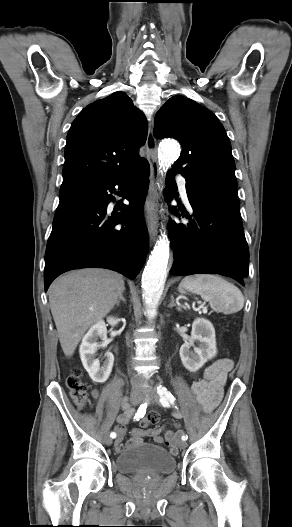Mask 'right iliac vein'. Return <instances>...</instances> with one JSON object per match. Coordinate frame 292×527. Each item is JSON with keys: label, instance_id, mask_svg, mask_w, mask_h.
Masks as SVG:
<instances>
[{"label": "right iliac vein", "instance_id": "right-iliac-vein-1", "mask_svg": "<svg viewBox=\"0 0 292 527\" xmlns=\"http://www.w3.org/2000/svg\"><path fill=\"white\" fill-rule=\"evenodd\" d=\"M141 398H142V394L140 392L135 391L130 396V402L132 403V405H138L140 403V401H141ZM112 442H113V440H112L111 437L107 436L105 438V443L107 445H111Z\"/></svg>", "mask_w": 292, "mask_h": 527}]
</instances>
